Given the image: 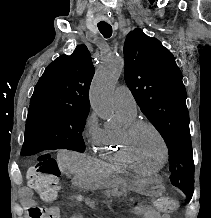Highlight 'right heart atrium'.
Masks as SVG:
<instances>
[{
    "label": "right heart atrium",
    "instance_id": "1",
    "mask_svg": "<svg viewBox=\"0 0 211 218\" xmlns=\"http://www.w3.org/2000/svg\"><path fill=\"white\" fill-rule=\"evenodd\" d=\"M85 132L89 135L92 144H96L100 138L103 128L100 125L99 118L96 113H91L84 123Z\"/></svg>",
    "mask_w": 211,
    "mask_h": 218
}]
</instances>
